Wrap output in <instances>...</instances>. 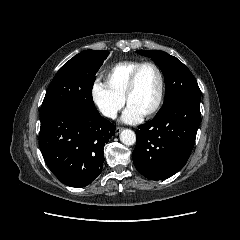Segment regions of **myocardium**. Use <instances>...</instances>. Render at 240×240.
Masks as SVG:
<instances>
[{"instance_id":"obj_1","label":"myocardium","mask_w":240,"mask_h":240,"mask_svg":"<svg viewBox=\"0 0 240 240\" xmlns=\"http://www.w3.org/2000/svg\"><path fill=\"white\" fill-rule=\"evenodd\" d=\"M147 66L154 68L155 71L157 72V75L159 77V91H158V95H157L156 101L153 104V106L147 112H145L143 114L145 117H149V116L153 115L155 112H157L163 101L164 91H165V79H164V75H163V72L160 69V67L154 62H143L140 65H138L129 77L127 89L125 92V100H126V103H128L129 97L132 95V93L134 92V90L136 88V82H137V78H138L140 71L144 67H147Z\"/></svg>"}]
</instances>
